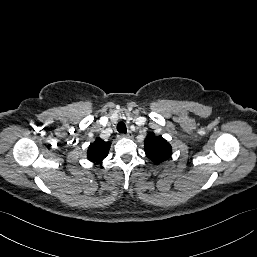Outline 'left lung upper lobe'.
<instances>
[{
    "mask_svg": "<svg viewBox=\"0 0 257 257\" xmlns=\"http://www.w3.org/2000/svg\"><path fill=\"white\" fill-rule=\"evenodd\" d=\"M144 148L147 157L156 164L167 160L172 154L171 145L162 136H155L153 132L147 135Z\"/></svg>",
    "mask_w": 257,
    "mask_h": 257,
    "instance_id": "obj_1",
    "label": "left lung upper lobe"
}]
</instances>
